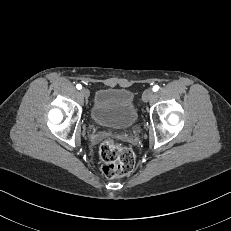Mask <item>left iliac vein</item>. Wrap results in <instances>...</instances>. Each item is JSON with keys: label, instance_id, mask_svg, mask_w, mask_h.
<instances>
[{"label": "left iliac vein", "instance_id": "4c4485c4", "mask_svg": "<svg viewBox=\"0 0 231 231\" xmlns=\"http://www.w3.org/2000/svg\"><path fill=\"white\" fill-rule=\"evenodd\" d=\"M153 95L154 93L151 89H146L142 94V100L144 102H148L153 97Z\"/></svg>", "mask_w": 231, "mask_h": 231}]
</instances>
